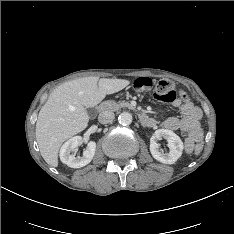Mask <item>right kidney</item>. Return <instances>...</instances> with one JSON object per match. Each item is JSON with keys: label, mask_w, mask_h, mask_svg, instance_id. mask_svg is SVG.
Here are the masks:
<instances>
[{"label": "right kidney", "mask_w": 234, "mask_h": 234, "mask_svg": "<svg viewBox=\"0 0 234 234\" xmlns=\"http://www.w3.org/2000/svg\"><path fill=\"white\" fill-rule=\"evenodd\" d=\"M83 138L81 136H74L66 141L60 149V160L71 168H81L91 162L95 155L96 143L90 141L87 144V149L83 152V156L75 157L72 154L75 148L82 143Z\"/></svg>", "instance_id": "right-kidney-1"}]
</instances>
